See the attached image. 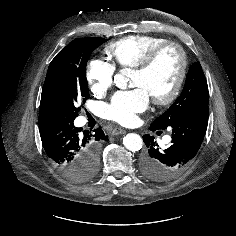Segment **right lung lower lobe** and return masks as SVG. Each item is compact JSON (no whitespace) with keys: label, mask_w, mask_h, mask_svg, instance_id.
<instances>
[{"label":"right lung lower lobe","mask_w":236,"mask_h":236,"mask_svg":"<svg viewBox=\"0 0 236 236\" xmlns=\"http://www.w3.org/2000/svg\"><path fill=\"white\" fill-rule=\"evenodd\" d=\"M44 150L59 170L73 181L98 156L99 143L107 140L101 127L93 131L74 126V119L57 116L39 119Z\"/></svg>","instance_id":"right-lung-lower-lobe-1"}]
</instances>
